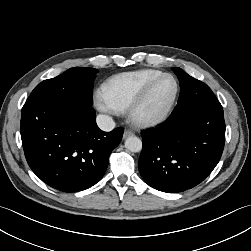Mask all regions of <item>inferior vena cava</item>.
<instances>
[{
	"mask_svg": "<svg viewBox=\"0 0 251 251\" xmlns=\"http://www.w3.org/2000/svg\"><path fill=\"white\" fill-rule=\"evenodd\" d=\"M96 121L98 127L106 132L113 130L115 127V122L113 121L112 117L108 115L100 114L97 116Z\"/></svg>",
	"mask_w": 251,
	"mask_h": 251,
	"instance_id": "obj_1",
	"label": "inferior vena cava"
}]
</instances>
